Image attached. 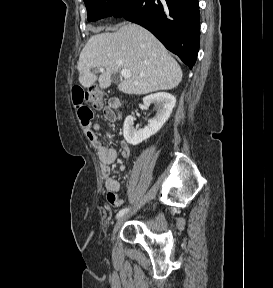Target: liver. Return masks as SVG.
<instances>
[{
	"label": "liver",
	"instance_id": "1",
	"mask_svg": "<svg viewBox=\"0 0 273 288\" xmlns=\"http://www.w3.org/2000/svg\"><path fill=\"white\" fill-rule=\"evenodd\" d=\"M99 32V30H96ZM105 70L98 77L93 68ZM79 82L90 88L97 80L101 89L111 85V76L120 69L131 71L118 89L126 94L145 95L171 90L182 80V70L162 43L145 28L128 23L114 33L90 37L80 53Z\"/></svg>",
	"mask_w": 273,
	"mask_h": 288
}]
</instances>
